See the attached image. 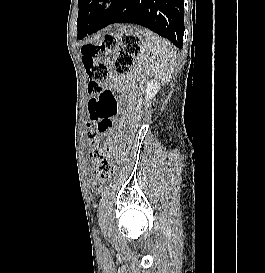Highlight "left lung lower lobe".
Segmentation results:
<instances>
[{"instance_id":"left-lung-lower-lobe-1","label":"left lung lower lobe","mask_w":265,"mask_h":273,"mask_svg":"<svg viewBox=\"0 0 265 273\" xmlns=\"http://www.w3.org/2000/svg\"><path fill=\"white\" fill-rule=\"evenodd\" d=\"M106 0L105 2H108ZM108 10L99 5L84 18L78 39L113 23H134L169 39L176 47L183 45L184 0H111Z\"/></svg>"}]
</instances>
